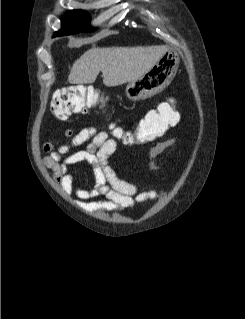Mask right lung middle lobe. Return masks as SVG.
Wrapping results in <instances>:
<instances>
[{"mask_svg":"<svg viewBox=\"0 0 245 319\" xmlns=\"http://www.w3.org/2000/svg\"><path fill=\"white\" fill-rule=\"evenodd\" d=\"M90 16L82 10H73L65 16L62 30L56 35L75 34L77 32H93L95 29L89 26Z\"/></svg>","mask_w":245,"mask_h":319,"instance_id":"dd1d6c3e","label":"right lung middle lobe"}]
</instances>
